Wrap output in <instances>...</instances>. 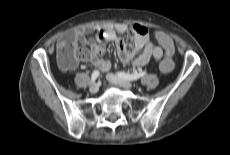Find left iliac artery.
Masks as SVG:
<instances>
[{
    "label": "left iliac artery",
    "mask_w": 230,
    "mask_h": 155,
    "mask_svg": "<svg viewBox=\"0 0 230 155\" xmlns=\"http://www.w3.org/2000/svg\"><path fill=\"white\" fill-rule=\"evenodd\" d=\"M146 72L144 71H141L139 73H133V74H130V73H125V72H118L117 75L124 79V80H127V81H135V80H138L139 78L145 76Z\"/></svg>",
    "instance_id": "obj_1"
}]
</instances>
